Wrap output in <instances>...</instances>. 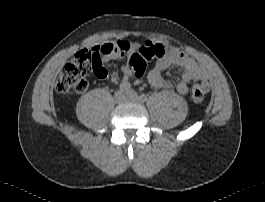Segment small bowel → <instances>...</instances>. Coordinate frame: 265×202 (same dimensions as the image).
<instances>
[{
  "instance_id": "1",
  "label": "small bowel",
  "mask_w": 265,
  "mask_h": 202,
  "mask_svg": "<svg viewBox=\"0 0 265 202\" xmlns=\"http://www.w3.org/2000/svg\"><path fill=\"white\" fill-rule=\"evenodd\" d=\"M122 45L128 46V52L132 53L143 46L141 43H135L127 40H121L114 44L115 49L110 52H101L102 62H109L117 60L120 56L119 47ZM181 69V78L176 83V89L181 94H187L189 91V84L193 79L205 78L204 70L196 63L194 59L182 53L178 49L169 47L166 49V54L162 59H159L150 70L148 74L149 83L157 89H169L172 84L164 78V74L171 68ZM124 78L122 82H128L132 76V68L130 63L123 66ZM129 83V82H128Z\"/></svg>"
}]
</instances>
